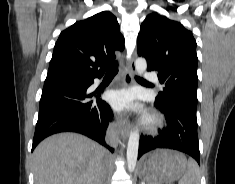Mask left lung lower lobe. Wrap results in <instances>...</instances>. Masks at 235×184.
I'll return each mask as SVG.
<instances>
[{"mask_svg":"<svg viewBox=\"0 0 235 184\" xmlns=\"http://www.w3.org/2000/svg\"><path fill=\"white\" fill-rule=\"evenodd\" d=\"M155 106L164 113L167 126L154 138L140 137L138 159L148 151L167 148L187 153L200 164L196 109L178 100L155 102Z\"/></svg>","mask_w":235,"mask_h":184,"instance_id":"left-lung-lower-lobe-1","label":"left lung lower lobe"}]
</instances>
